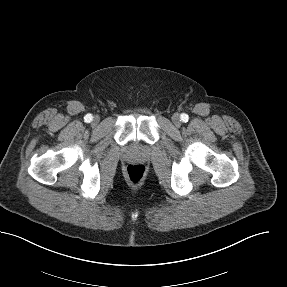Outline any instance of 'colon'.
Segmentation results:
<instances>
[{"label": "colon", "mask_w": 287, "mask_h": 287, "mask_svg": "<svg viewBox=\"0 0 287 287\" xmlns=\"http://www.w3.org/2000/svg\"><path fill=\"white\" fill-rule=\"evenodd\" d=\"M128 180L133 184L140 183L146 174V168L142 164H129L125 169Z\"/></svg>", "instance_id": "5ec220e1"}]
</instances>
